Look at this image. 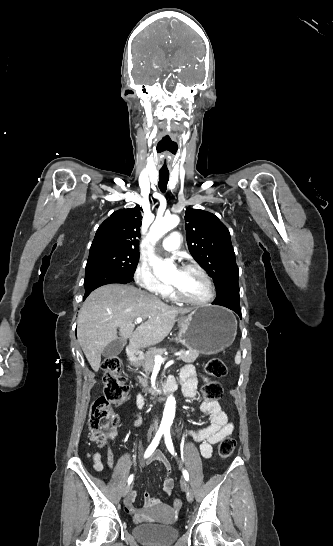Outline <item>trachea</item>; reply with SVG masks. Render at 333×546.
I'll return each mask as SVG.
<instances>
[{"label": "trachea", "instance_id": "obj_1", "mask_svg": "<svg viewBox=\"0 0 333 546\" xmlns=\"http://www.w3.org/2000/svg\"><path fill=\"white\" fill-rule=\"evenodd\" d=\"M169 181V173H159V189L161 192H165Z\"/></svg>", "mask_w": 333, "mask_h": 546}]
</instances>
